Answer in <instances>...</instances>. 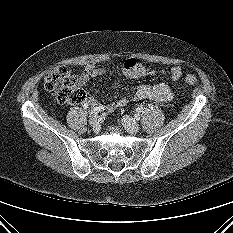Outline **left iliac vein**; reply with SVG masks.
Returning a JSON list of instances; mask_svg holds the SVG:
<instances>
[{
  "label": "left iliac vein",
  "mask_w": 233,
  "mask_h": 233,
  "mask_svg": "<svg viewBox=\"0 0 233 233\" xmlns=\"http://www.w3.org/2000/svg\"><path fill=\"white\" fill-rule=\"evenodd\" d=\"M122 124L125 129L131 134H136L140 131V125L136 122L134 118L129 115H124L122 117Z\"/></svg>",
  "instance_id": "obj_1"
}]
</instances>
